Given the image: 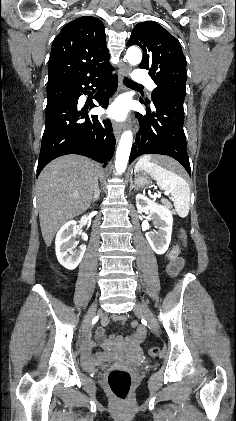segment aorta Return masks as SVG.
<instances>
[{
	"label": "aorta",
	"mask_w": 236,
	"mask_h": 421,
	"mask_svg": "<svg viewBox=\"0 0 236 421\" xmlns=\"http://www.w3.org/2000/svg\"><path fill=\"white\" fill-rule=\"evenodd\" d=\"M126 58L130 64H139L142 58V52L137 46H130L126 52ZM133 142L132 130L123 132L116 150L115 168L117 174H122L126 170L129 160V154Z\"/></svg>",
	"instance_id": "aorta-1"
}]
</instances>
